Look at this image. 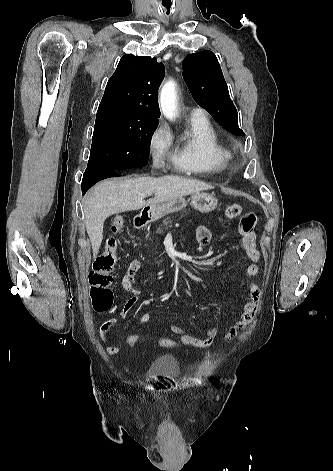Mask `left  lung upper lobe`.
<instances>
[{"mask_svg": "<svg viewBox=\"0 0 333 471\" xmlns=\"http://www.w3.org/2000/svg\"><path fill=\"white\" fill-rule=\"evenodd\" d=\"M183 70V78L196 103L227 131L244 136L215 54L211 51L189 54L183 61Z\"/></svg>", "mask_w": 333, "mask_h": 471, "instance_id": "obj_1", "label": "left lung upper lobe"}]
</instances>
